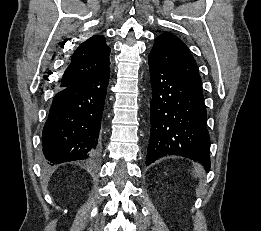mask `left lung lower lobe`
<instances>
[{
	"mask_svg": "<svg viewBox=\"0 0 261 231\" xmlns=\"http://www.w3.org/2000/svg\"><path fill=\"white\" fill-rule=\"evenodd\" d=\"M152 99L146 166L179 155L210 169L207 113L201 91L192 88L155 58L148 59Z\"/></svg>",
	"mask_w": 261,
	"mask_h": 231,
	"instance_id": "1",
	"label": "left lung lower lobe"
}]
</instances>
